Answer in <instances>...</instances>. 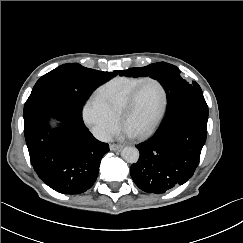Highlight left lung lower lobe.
<instances>
[{"label":"left lung lower lobe","mask_w":243,"mask_h":243,"mask_svg":"<svg viewBox=\"0 0 243 243\" xmlns=\"http://www.w3.org/2000/svg\"><path fill=\"white\" fill-rule=\"evenodd\" d=\"M208 106L202 93L166 111L157 132L136 145L140 156L131 166L135 184L147 193H165L184 184L199 164L207 137Z\"/></svg>","instance_id":"0a47b994"}]
</instances>
